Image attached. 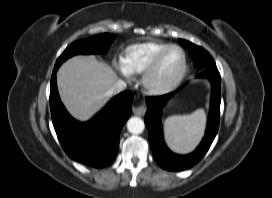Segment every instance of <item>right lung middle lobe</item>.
<instances>
[{
    "label": "right lung middle lobe",
    "mask_w": 272,
    "mask_h": 198,
    "mask_svg": "<svg viewBox=\"0 0 272 198\" xmlns=\"http://www.w3.org/2000/svg\"><path fill=\"white\" fill-rule=\"evenodd\" d=\"M113 38L114 37L111 34L104 33L87 40L76 41L65 49L57 59L55 67L58 68L67 58L76 54L105 53Z\"/></svg>",
    "instance_id": "1"
}]
</instances>
